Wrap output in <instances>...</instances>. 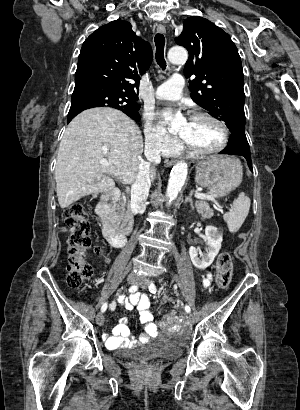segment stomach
Masks as SVG:
<instances>
[{"label":"stomach","mask_w":300,"mask_h":410,"mask_svg":"<svg viewBox=\"0 0 300 410\" xmlns=\"http://www.w3.org/2000/svg\"><path fill=\"white\" fill-rule=\"evenodd\" d=\"M242 176V166L237 159L217 155L197 165L195 181L211 194L223 196L240 185Z\"/></svg>","instance_id":"stomach-1"}]
</instances>
